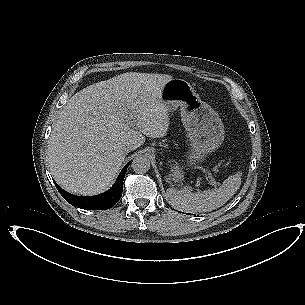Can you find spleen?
<instances>
[{"label":"spleen","mask_w":305,"mask_h":305,"mask_svg":"<svg viewBox=\"0 0 305 305\" xmlns=\"http://www.w3.org/2000/svg\"><path fill=\"white\" fill-rule=\"evenodd\" d=\"M231 180L239 181L238 175L227 178L219 188L192 192L191 187L185 186L182 190L169 188L167 197L170 204L187 213L209 212L223 206L234 194L230 188Z\"/></svg>","instance_id":"1"}]
</instances>
